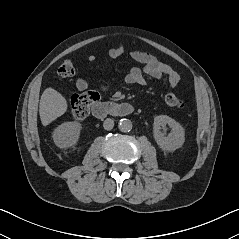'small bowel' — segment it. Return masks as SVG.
Instances as JSON below:
<instances>
[{"mask_svg":"<svg viewBox=\"0 0 239 239\" xmlns=\"http://www.w3.org/2000/svg\"><path fill=\"white\" fill-rule=\"evenodd\" d=\"M123 53L124 48L121 44L116 45L109 50V56L112 59L121 57ZM130 56L133 60L140 63L142 68L133 67L130 69L125 76V82L127 84L144 85V74H146L154 79L166 77L171 87H177L179 85L181 80L180 75L170 66L158 60L154 55L148 52L134 50L130 52ZM87 60L90 63H93L97 60V58L95 55H89ZM75 86L79 91H86L89 88V84L84 78H77ZM109 88V85L106 84L98 86V90L103 92L109 90Z\"/></svg>","mask_w":239,"mask_h":239,"instance_id":"1","label":"small bowel"}]
</instances>
